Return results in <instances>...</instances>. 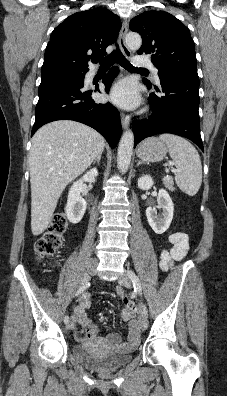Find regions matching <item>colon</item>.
<instances>
[{
  "mask_svg": "<svg viewBox=\"0 0 227 396\" xmlns=\"http://www.w3.org/2000/svg\"><path fill=\"white\" fill-rule=\"evenodd\" d=\"M67 230V220L63 213L53 216L48 230L36 241L35 254L37 258L43 259L51 257L62 244L63 237ZM126 304L130 301L125 297Z\"/></svg>",
  "mask_w": 227,
  "mask_h": 396,
  "instance_id": "colon-1",
  "label": "colon"
}]
</instances>
